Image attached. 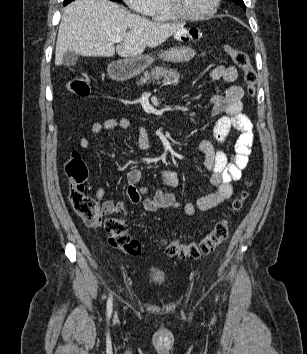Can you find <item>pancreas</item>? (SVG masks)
<instances>
[{
  "label": "pancreas",
  "mask_w": 307,
  "mask_h": 354,
  "mask_svg": "<svg viewBox=\"0 0 307 354\" xmlns=\"http://www.w3.org/2000/svg\"><path fill=\"white\" fill-rule=\"evenodd\" d=\"M180 79V73L175 69H167L165 67L155 66L151 68L150 72H145L143 77L137 82V85H144L149 81H160L165 85H178Z\"/></svg>",
  "instance_id": "pancreas-1"
}]
</instances>
